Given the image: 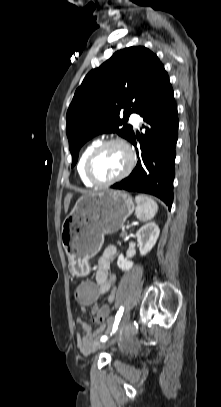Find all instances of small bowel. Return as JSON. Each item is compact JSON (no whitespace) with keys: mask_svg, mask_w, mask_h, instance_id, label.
<instances>
[{"mask_svg":"<svg viewBox=\"0 0 221 407\" xmlns=\"http://www.w3.org/2000/svg\"><path fill=\"white\" fill-rule=\"evenodd\" d=\"M116 253L117 249L115 246L110 245L106 247L98 260L95 271V279L96 283H99L100 295L107 294L110 303L114 301L115 287L117 283V277L110 272L111 262L116 256ZM100 309L101 307L98 305H93L91 307V312L93 314H98ZM76 323L81 329V333L77 334V345L79 350L84 354L92 352L96 348V340L98 336L105 330V325H101L96 331L92 332L90 326L81 318L78 317Z\"/></svg>","mask_w":221,"mask_h":407,"instance_id":"1","label":"small bowel"}]
</instances>
